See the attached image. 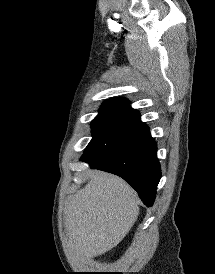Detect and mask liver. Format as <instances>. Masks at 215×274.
<instances>
[{
	"mask_svg": "<svg viewBox=\"0 0 215 274\" xmlns=\"http://www.w3.org/2000/svg\"><path fill=\"white\" fill-rule=\"evenodd\" d=\"M69 196L64 210L67 244L83 259L100 256L116 247L139 215L137 193L121 178L97 170Z\"/></svg>",
	"mask_w": 215,
	"mask_h": 274,
	"instance_id": "1",
	"label": "liver"
}]
</instances>
